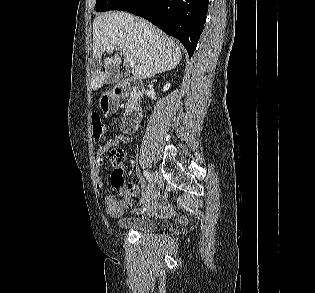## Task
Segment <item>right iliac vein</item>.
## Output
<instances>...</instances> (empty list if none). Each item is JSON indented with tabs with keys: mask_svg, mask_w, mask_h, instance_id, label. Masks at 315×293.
Returning a JSON list of instances; mask_svg holds the SVG:
<instances>
[{
	"mask_svg": "<svg viewBox=\"0 0 315 293\" xmlns=\"http://www.w3.org/2000/svg\"><path fill=\"white\" fill-rule=\"evenodd\" d=\"M153 176H154V179L150 182L148 190L146 191V193L141 198L140 205H143V204L147 203L150 200V198L152 197L153 193H154L155 182H156V179H157V175L153 174Z\"/></svg>",
	"mask_w": 315,
	"mask_h": 293,
	"instance_id": "obj_1",
	"label": "right iliac vein"
}]
</instances>
